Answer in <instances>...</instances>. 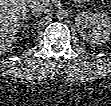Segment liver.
Masks as SVG:
<instances>
[{
    "instance_id": "liver-1",
    "label": "liver",
    "mask_w": 111,
    "mask_h": 106,
    "mask_svg": "<svg viewBox=\"0 0 111 106\" xmlns=\"http://www.w3.org/2000/svg\"><path fill=\"white\" fill-rule=\"evenodd\" d=\"M27 0L0 1V52L5 53L16 41V34L27 13Z\"/></svg>"
}]
</instances>
